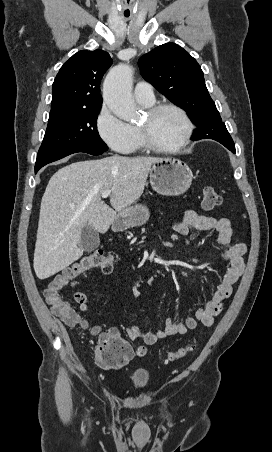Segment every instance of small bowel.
Masks as SVG:
<instances>
[{"mask_svg":"<svg viewBox=\"0 0 272 452\" xmlns=\"http://www.w3.org/2000/svg\"><path fill=\"white\" fill-rule=\"evenodd\" d=\"M173 228L178 234L184 236L188 235L192 229L217 231L218 242L224 248L223 258L228 262V267L212 299L203 307H199L195 311L194 317H187L182 321L166 318L164 328L155 332L148 331L137 325L128 326L126 328L128 338L131 340H142L145 344V346H142L145 349L146 346L154 345L167 336L186 334L189 330L195 329L198 323L204 326H212L215 316L222 310L224 301L231 296L234 284L245 271L244 256L247 253V246L234 237L230 219L226 217L216 218L200 214L194 210H187L180 220L174 222ZM185 244H188L187 240H185ZM74 300L79 306V311L86 312L89 310L90 297L87 294L77 291L74 293ZM61 319L67 326L73 328L87 327L86 320L75 310H72L70 315L61 316ZM91 332L98 339L103 334L122 338L121 333L115 328L102 330L100 326H93L91 327ZM126 345L130 349V360L134 353L127 343Z\"/></svg>","mask_w":272,"mask_h":452,"instance_id":"small-bowel-1","label":"small bowel"}]
</instances>
